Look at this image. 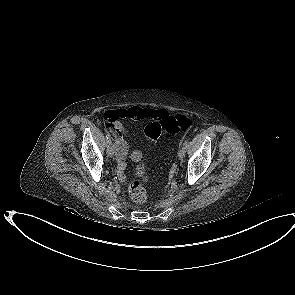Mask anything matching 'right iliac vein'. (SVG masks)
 Listing matches in <instances>:
<instances>
[{
  "mask_svg": "<svg viewBox=\"0 0 295 295\" xmlns=\"http://www.w3.org/2000/svg\"><path fill=\"white\" fill-rule=\"evenodd\" d=\"M116 152V147L113 143H108V146H107V154L109 157H113L114 154Z\"/></svg>",
  "mask_w": 295,
  "mask_h": 295,
  "instance_id": "63e3f726",
  "label": "right iliac vein"
}]
</instances>
